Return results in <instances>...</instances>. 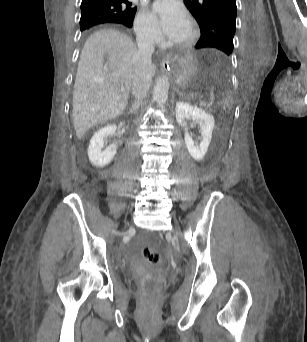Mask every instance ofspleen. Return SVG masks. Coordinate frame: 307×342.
Wrapping results in <instances>:
<instances>
[{
	"label": "spleen",
	"mask_w": 307,
	"mask_h": 342,
	"mask_svg": "<svg viewBox=\"0 0 307 342\" xmlns=\"http://www.w3.org/2000/svg\"><path fill=\"white\" fill-rule=\"evenodd\" d=\"M229 94H227L226 98H224V103L221 104V109L222 110H229L230 109V104H229Z\"/></svg>",
	"instance_id": "obj_1"
}]
</instances>
